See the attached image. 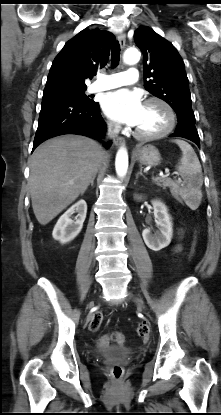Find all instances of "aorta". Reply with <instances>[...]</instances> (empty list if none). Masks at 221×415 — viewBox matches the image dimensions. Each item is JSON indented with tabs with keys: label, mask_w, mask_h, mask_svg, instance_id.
Wrapping results in <instances>:
<instances>
[{
	"label": "aorta",
	"mask_w": 221,
	"mask_h": 415,
	"mask_svg": "<svg viewBox=\"0 0 221 415\" xmlns=\"http://www.w3.org/2000/svg\"><path fill=\"white\" fill-rule=\"evenodd\" d=\"M140 52L137 49H127L123 55V60L126 64L134 65L140 60ZM115 168L118 177L124 178L128 169V153L126 148L121 147L115 160Z\"/></svg>",
	"instance_id": "762f6f07"
}]
</instances>
